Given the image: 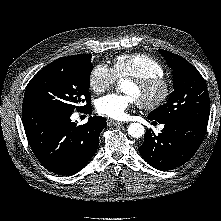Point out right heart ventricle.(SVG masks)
Instances as JSON below:
<instances>
[{
  "instance_id": "1",
  "label": "right heart ventricle",
  "mask_w": 221,
  "mask_h": 221,
  "mask_svg": "<svg viewBox=\"0 0 221 221\" xmlns=\"http://www.w3.org/2000/svg\"><path fill=\"white\" fill-rule=\"evenodd\" d=\"M117 78H148L164 75L163 65L153 57L143 53L117 56L113 61Z\"/></svg>"
}]
</instances>
